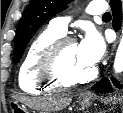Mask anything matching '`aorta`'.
Wrapping results in <instances>:
<instances>
[{"label": "aorta", "mask_w": 123, "mask_h": 113, "mask_svg": "<svg viewBox=\"0 0 123 113\" xmlns=\"http://www.w3.org/2000/svg\"><path fill=\"white\" fill-rule=\"evenodd\" d=\"M114 70L117 73H120L123 71V35L116 52V57L114 60Z\"/></svg>", "instance_id": "1"}]
</instances>
